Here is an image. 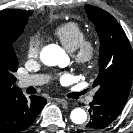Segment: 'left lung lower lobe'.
<instances>
[{
  "instance_id": "left-lung-lower-lobe-1",
  "label": "left lung lower lobe",
  "mask_w": 133,
  "mask_h": 133,
  "mask_svg": "<svg viewBox=\"0 0 133 133\" xmlns=\"http://www.w3.org/2000/svg\"><path fill=\"white\" fill-rule=\"evenodd\" d=\"M123 106L104 97L94 96L90 103L91 120L82 127L84 133H98L107 128L121 113Z\"/></svg>"
}]
</instances>
